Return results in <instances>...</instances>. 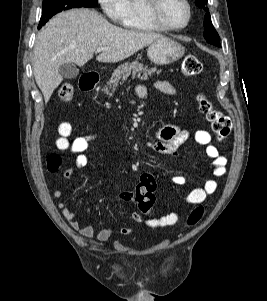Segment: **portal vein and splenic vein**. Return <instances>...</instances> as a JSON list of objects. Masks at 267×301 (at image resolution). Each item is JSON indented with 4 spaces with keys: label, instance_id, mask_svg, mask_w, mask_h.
Returning <instances> with one entry per match:
<instances>
[{
    "label": "portal vein and splenic vein",
    "instance_id": "1",
    "mask_svg": "<svg viewBox=\"0 0 267 301\" xmlns=\"http://www.w3.org/2000/svg\"><path fill=\"white\" fill-rule=\"evenodd\" d=\"M106 49H107L106 47H98L97 48V52H102V51H104Z\"/></svg>",
    "mask_w": 267,
    "mask_h": 301
}]
</instances>
